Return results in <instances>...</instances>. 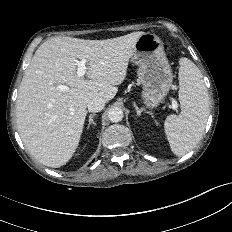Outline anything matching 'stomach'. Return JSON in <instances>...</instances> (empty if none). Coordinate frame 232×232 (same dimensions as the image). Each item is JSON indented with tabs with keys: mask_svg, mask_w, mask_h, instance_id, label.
Returning a JSON list of instances; mask_svg holds the SVG:
<instances>
[{
	"mask_svg": "<svg viewBox=\"0 0 232 232\" xmlns=\"http://www.w3.org/2000/svg\"><path fill=\"white\" fill-rule=\"evenodd\" d=\"M131 61L138 65V79L143 85L146 105L155 108L169 92L173 74L162 41L152 33H145L135 44Z\"/></svg>",
	"mask_w": 232,
	"mask_h": 232,
	"instance_id": "obj_1",
	"label": "stomach"
}]
</instances>
